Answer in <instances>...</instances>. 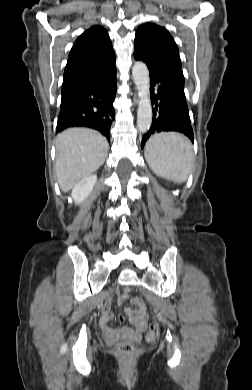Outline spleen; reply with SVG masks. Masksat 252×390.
Returning a JSON list of instances; mask_svg holds the SVG:
<instances>
[{"mask_svg":"<svg viewBox=\"0 0 252 390\" xmlns=\"http://www.w3.org/2000/svg\"><path fill=\"white\" fill-rule=\"evenodd\" d=\"M145 158L155 174L182 183L190 172L193 151L186 137L177 133H160L149 139Z\"/></svg>","mask_w":252,"mask_h":390,"instance_id":"1","label":"spleen"}]
</instances>
